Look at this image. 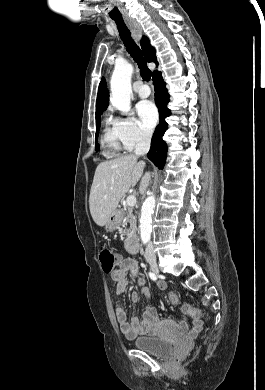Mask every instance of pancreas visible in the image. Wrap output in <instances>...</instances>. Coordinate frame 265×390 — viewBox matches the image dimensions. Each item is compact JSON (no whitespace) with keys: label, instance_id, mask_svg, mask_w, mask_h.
Wrapping results in <instances>:
<instances>
[{"label":"pancreas","instance_id":"pancreas-1","mask_svg":"<svg viewBox=\"0 0 265 390\" xmlns=\"http://www.w3.org/2000/svg\"><path fill=\"white\" fill-rule=\"evenodd\" d=\"M122 216H123V223L124 224H127V223L130 224V228L129 229H125L122 232V235H126L128 238H130L137 231V218L133 214V208L132 207H127L126 209L122 210ZM125 242H127V240H125Z\"/></svg>","mask_w":265,"mask_h":390}]
</instances>
